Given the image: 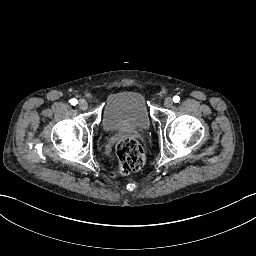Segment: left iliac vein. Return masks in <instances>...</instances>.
Listing matches in <instances>:
<instances>
[{
  "label": "left iliac vein",
  "instance_id": "obj_1",
  "mask_svg": "<svg viewBox=\"0 0 256 256\" xmlns=\"http://www.w3.org/2000/svg\"><path fill=\"white\" fill-rule=\"evenodd\" d=\"M164 105H165V107H167V108L172 107V105H173V100H172V98H170V97L165 98V100H164Z\"/></svg>",
  "mask_w": 256,
  "mask_h": 256
}]
</instances>
